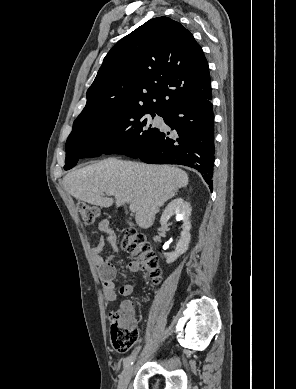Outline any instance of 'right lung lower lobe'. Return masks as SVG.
Masks as SVG:
<instances>
[{"label":"right lung lower lobe","instance_id":"obj_1","mask_svg":"<svg viewBox=\"0 0 296 389\" xmlns=\"http://www.w3.org/2000/svg\"><path fill=\"white\" fill-rule=\"evenodd\" d=\"M212 94L185 102L163 116L170 131H157L131 157L149 164H180L198 170L212 186L215 132ZM212 191V187H210Z\"/></svg>","mask_w":296,"mask_h":389}]
</instances>
